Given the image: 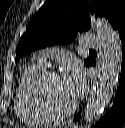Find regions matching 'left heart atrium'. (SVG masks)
<instances>
[{"instance_id": "left-heart-atrium-1", "label": "left heart atrium", "mask_w": 125, "mask_h": 128, "mask_svg": "<svg viewBox=\"0 0 125 128\" xmlns=\"http://www.w3.org/2000/svg\"><path fill=\"white\" fill-rule=\"evenodd\" d=\"M61 78L71 97L77 98L84 88V76L81 68L71 64L66 67Z\"/></svg>"}]
</instances>
